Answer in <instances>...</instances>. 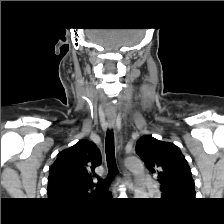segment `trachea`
<instances>
[{"label": "trachea", "mask_w": 224, "mask_h": 224, "mask_svg": "<svg viewBox=\"0 0 224 224\" xmlns=\"http://www.w3.org/2000/svg\"><path fill=\"white\" fill-rule=\"evenodd\" d=\"M106 160L108 166V175L105 181L98 185L99 190H105L114 176L118 173L116 161H115V146L113 131L108 130L105 139Z\"/></svg>", "instance_id": "1"}]
</instances>
